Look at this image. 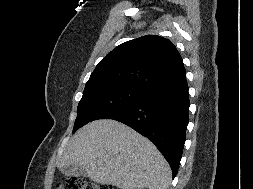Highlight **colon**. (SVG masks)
Returning <instances> with one entry per match:
<instances>
[{
	"mask_svg": "<svg viewBox=\"0 0 253 189\" xmlns=\"http://www.w3.org/2000/svg\"><path fill=\"white\" fill-rule=\"evenodd\" d=\"M66 186L69 189H114L110 185L92 182L79 177L69 178L66 181ZM57 189H64V185H57Z\"/></svg>",
	"mask_w": 253,
	"mask_h": 189,
	"instance_id": "colon-1",
	"label": "colon"
}]
</instances>
